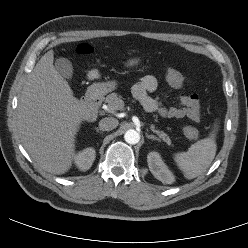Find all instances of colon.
<instances>
[{
    "label": "colon",
    "instance_id": "1",
    "mask_svg": "<svg viewBox=\"0 0 248 248\" xmlns=\"http://www.w3.org/2000/svg\"><path fill=\"white\" fill-rule=\"evenodd\" d=\"M78 52L80 54H89L92 52V47L87 44H82L78 47ZM163 78L167 84L175 88H182L185 85V77L181 72L172 67H166L164 69ZM183 132L189 140L194 141L199 138L198 130L192 125L185 126Z\"/></svg>",
    "mask_w": 248,
    "mask_h": 248
}]
</instances>
